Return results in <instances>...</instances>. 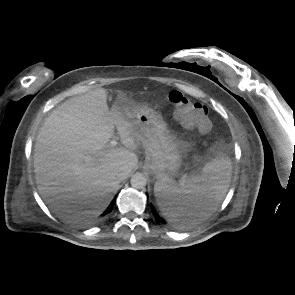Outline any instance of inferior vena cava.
Returning a JSON list of instances; mask_svg holds the SVG:
<instances>
[{"label": "inferior vena cava", "mask_w": 295, "mask_h": 295, "mask_svg": "<svg viewBox=\"0 0 295 295\" xmlns=\"http://www.w3.org/2000/svg\"><path fill=\"white\" fill-rule=\"evenodd\" d=\"M127 176V173L126 172H122L120 171L119 174H118V179L121 181V180H124Z\"/></svg>", "instance_id": "obj_1"}]
</instances>
